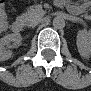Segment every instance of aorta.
<instances>
[{
    "instance_id": "1",
    "label": "aorta",
    "mask_w": 91,
    "mask_h": 91,
    "mask_svg": "<svg viewBox=\"0 0 91 91\" xmlns=\"http://www.w3.org/2000/svg\"><path fill=\"white\" fill-rule=\"evenodd\" d=\"M64 26H65V21L62 17L57 16L53 19V27L55 29H61Z\"/></svg>"
}]
</instances>
